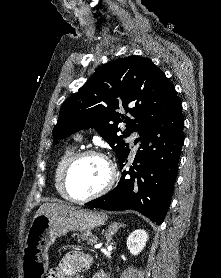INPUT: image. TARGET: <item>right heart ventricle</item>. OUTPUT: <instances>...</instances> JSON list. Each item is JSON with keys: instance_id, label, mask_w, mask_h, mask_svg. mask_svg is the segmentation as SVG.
Listing matches in <instances>:
<instances>
[{"instance_id": "obj_1", "label": "right heart ventricle", "mask_w": 221, "mask_h": 278, "mask_svg": "<svg viewBox=\"0 0 221 278\" xmlns=\"http://www.w3.org/2000/svg\"><path fill=\"white\" fill-rule=\"evenodd\" d=\"M76 153V148L73 144H70L68 146H66L55 167V172H54V185L55 188L57 190V192L59 193L60 196H62L63 198L65 197L63 188H62V173H63V169L66 165V163L68 162V160L71 158L72 155H74ZM67 199V198H66Z\"/></svg>"}]
</instances>
